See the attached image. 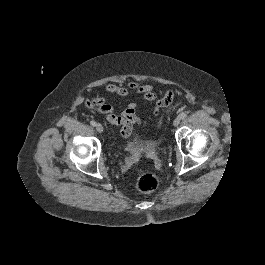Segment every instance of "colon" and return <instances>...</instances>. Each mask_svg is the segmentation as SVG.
<instances>
[{
    "label": "colon",
    "instance_id": "1",
    "mask_svg": "<svg viewBox=\"0 0 265 265\" xmlns=\"http://www.w3.org/2000/svg\"><path fill=\"white\" fill-rule=\"evenodd\" d=\"M164 99L166 101L167 106L171 104L173 100V94L171 91H167L164 94ZM163 122V118L160 119L159 125L161 126ZM130 130L127 127L121 129V135L123 137H128L130 135ZM158 186V179L152 173H142L136 181V189L139 193L148 194L154 191Z\"/></svg>",
    "mask_w": 265,
    "mask_h": 265
}]
</instances>
